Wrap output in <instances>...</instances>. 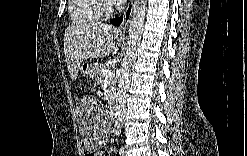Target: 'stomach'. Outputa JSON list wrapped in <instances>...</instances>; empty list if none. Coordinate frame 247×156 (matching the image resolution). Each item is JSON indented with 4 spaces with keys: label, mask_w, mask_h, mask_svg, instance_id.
Returning a JSON list of instances; mask_svg holds the SVG:
<instances>
[{
    "label": "stomach",
    "mask_w": 247,
    "mask_h": 156,
    "mask_svg": "<svg viewBox=\"0 0 247 156\" xmlns=\"http://www.w3.org/2000/svg\"><path fill=\"white\" fill-rule=\"evenodd\" d=\"M98 64H88V62L83 61L80 65V70L84 75L90 74L91 77H95L96 73V67Z\"/></svg>",
    "instance_id": "1"
}]
</instances>
